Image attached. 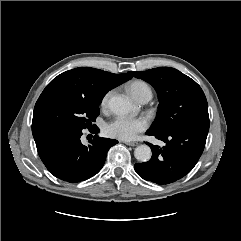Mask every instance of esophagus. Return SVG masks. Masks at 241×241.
I'll return each mask as SVG.
<instances>
[{
  "label": "esophagus",
  "instance_id": "34e87169",
  "mask_svg": "<svg viewBox=\"0 0 241 241\" xmlns=\"http://www.w3.org/2000/svg\"><path fill=\"white\" fill-rule=\"evenodd\" d=\"M124 143H125L126 145H129V146H132V147L138 145V142H128V141H126V142H124Z\"/></svg>",
  "mask_w": 241,
  "mask_h": 241
}]
</instances>
